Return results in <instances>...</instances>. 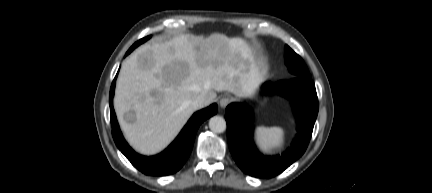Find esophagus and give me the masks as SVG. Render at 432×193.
<instances>
[{
	"label": "esophagus",
	"mask_w": 432,
	"mask_h": 193,
	"mask_svg": "<svg viewBox=\"0 0 432 193\" xmlns=\"http://www.w3.org/2000/svg\"><path fill=\"white\" fill-rule=\"evenodd\" d=\"M231 102V98L228 96H224L220 99L219 101V105L221 108H225L226 106H228Z\"/></svg>",
	"instance_id": "1"
}]
</instances>
